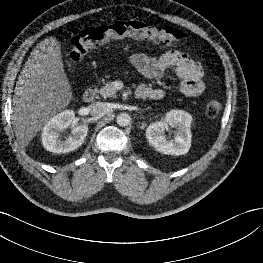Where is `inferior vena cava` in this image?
Wrapping results in <instances>:
<instances>
[{"mask_svg":"<svg viewBox=\"0 0 263 263\" xmlns=\"http://www.w3.org/2000/svg\"><path fill=\"white\" fill-rule=\"evenodd\" d=\"M106 104L103 102H93L89 105V111L92 115H97L104 112Z\"/></svg>","mask_w":263,"mask_h":263,"instance_id":"inferior-vena-cava-1","label":"inferior vena cava"}]
</instances>
